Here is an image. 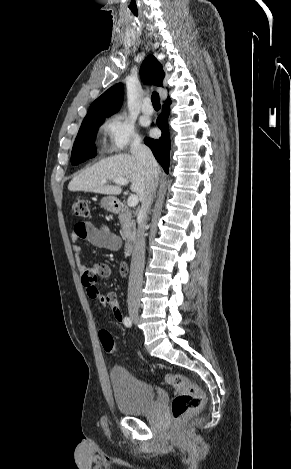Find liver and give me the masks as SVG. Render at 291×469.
Instances as JSON below:
<instances>
[{
	"instance_id": "1",
	"label": "liver",
	"mask_w": 291,
	"mask_h": 469,
	"mask_svg": "<svg viewBox=\"0 0 291 469\" xmlns=\"http://www.w3.org/2000/svg\"><path fill=\"white\" fill-rule=\"evenodd\" d=\"M159 173L158 167V176ZM119 178L130 180V190L137 194L141 202L152 184V181L147 178L146 169L141 162L133 155L118 154L104 158L86 168L70 181L68 190L119 195L122 191L120 186L103 183V181L107 182Z\"/></svg>"
}]
</instances>
